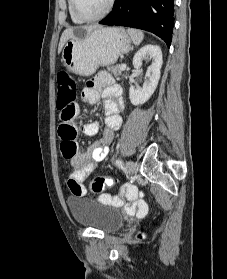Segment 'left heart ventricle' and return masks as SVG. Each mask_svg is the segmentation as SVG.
<instances>
[{"label": "left heart ventricle", "instance_id": "b2bd125f", "mask_svg": "<svg viewBox=\"0 0 227 279\" xmlns=\"http://www.w3.org/2000/svg\"><path fill=\"white\" fill-rule=\"evenodd\" d=\"M108 0H76L77 10L84 17L99 15L107 6Z\"/></svg>", "mask_w": 227, "mask_h": 279}]
</instances>
